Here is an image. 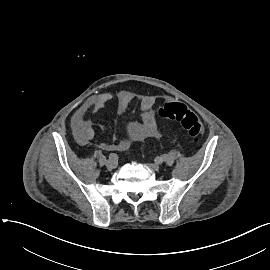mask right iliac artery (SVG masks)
<instances>
[{
    "label": "right iliac artery",
    "instance_id": "1",
    "mask_svg": "<svg viewBox=\"0 0 270 270\" xmlns=\"http://www.w3.org/2000/svg\"><path fill=\"white\" fill-rule=\"evenodd\" d=\"M109 160H111L112 162H115L116 163L118 161V155L115 154V153H111L109 155Z\"/></svg>",
    "mask_w": 270,
    "mask_h": 270
}]
</instances>
